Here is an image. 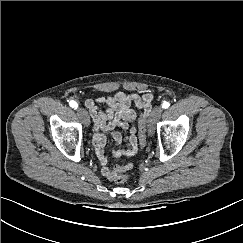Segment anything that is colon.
I'll return each instance as SVG.
<instances>
[{
	"mask_svg": "<svg viewBox=\"0 0 243 243\" xmlns=\"http://www.w3.org/2000/svg\"><path fill=\"white\" fill-rule=\"evenodd\" d=\"M138 133L139 139L142 146L146 142V118L140 117L138 121ZM132 168L131 163H125L122 166H119V173L115 178V182L118 184L125 183L128 180V175L126 171Z\"/></svg>",
	"mask_w": 243,
	"mask_h": 243,
	"instance_id": "5ec220e1",
	"label": "colon"
}]
</instances>
